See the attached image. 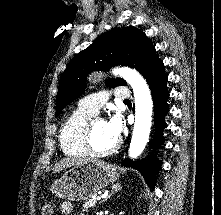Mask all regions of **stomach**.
<instances>
[{"instance_id": "stomach-1", "label": "stomach", "mask_w": 221, "mask_h": 215, "mask_svg": "<svg viewBox=\"0 0 221 215\" xmlns=\"http://www.w3.org/2000/svg\"><path fill=\"white\" fill-rule=\"evenodd\" d=\"M117 168L92 159L66 171L51 185V192L62 199L84 201L118 179Z\"/></svg>"}]
</instances>
